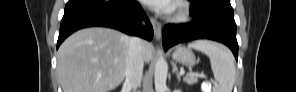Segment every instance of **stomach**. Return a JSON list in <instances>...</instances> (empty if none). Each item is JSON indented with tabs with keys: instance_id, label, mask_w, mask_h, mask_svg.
<instances>
[{
	"instance_id": "1",
	"label": "stomach",
	"mask_w": 296,
	"mask_h": 92,
	"mask_svg": "<svg viewBox=\"0 0 296 92\" xmlns=\"http://www.w3.org/2000/svg\"><path fill=\"white\" fill-rule=\"evenodd\" d=\"M172 58L174 61L185 65L187 67H192L196 64L195 55L193 52L186 47H178L173 53Z\"/></svg>"
}]
</instances>
